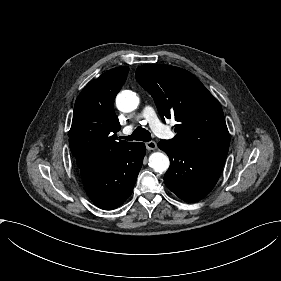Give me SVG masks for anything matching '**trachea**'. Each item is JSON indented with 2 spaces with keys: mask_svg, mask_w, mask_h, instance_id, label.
Segmentation results:
<instances>
[{
  "mask_svg": "<svg viewBox=\"0 0 281 281\" xmlns=\"http://www.w3.org/2000/svg\"><path fill=\"white\" fill-rule=\"evenodd\" d=\"M120 139L124 140H135V141H143V142H148L151 140V134L149 131L146 129L142 128L141 126L137 127L133 133L129 136H120Z\"/></svg>",
  "mask_w": 281,
  "mask_h": 281,
  "instance_id": "1",
  "label": "trachea"
}]
</instances>
